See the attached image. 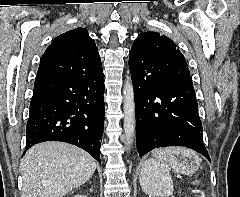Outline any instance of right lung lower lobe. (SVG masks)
<instances>
[{
  "label": "right lung lower lobe",
  "mask_w": 240,
  "mask_h": 197,
  "mask_svg": "<svg viewBox=\"0 0 240 197\" xmlns=\"http://www.w3.org/2000/svg\"><path fill=\"white\" fill-rule=\"evenodd\" d=\"M104 74L53 78L34 85L26 150L44 141L74 144L99 163L104 127Z\"/></svg>",
  "instance_id": "98d812e1"
}]
</instances>
